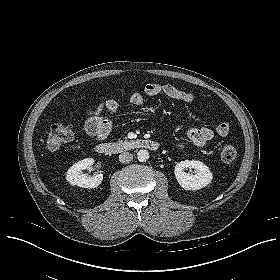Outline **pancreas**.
<instances>
[{
	"label": "pancreas",
	"instance_id": "pancreas-1",
	"mask_svg": "<svg viewBox=\"0 0 280 280\" xmlns=\"http://www.w3.org/2000/svg\"><path fill=\"white\" fill-rule=\"evenodd\" d=\"M127 141H128V140L125 139L124 143H127ZM119 142L122 143L123 141H122V140H119Z\"/></svg>",
	"mask_w": 280,
	"mask_h": 280
}]
</instances>
